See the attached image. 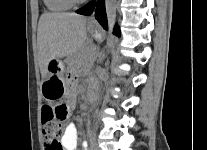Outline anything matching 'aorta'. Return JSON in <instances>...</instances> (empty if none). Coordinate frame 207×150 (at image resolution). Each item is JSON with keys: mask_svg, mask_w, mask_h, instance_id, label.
<instances>
[{"mask_svg": "<svg viewBox=\"0 0 207 150\" xmlns=\"http://www.w3.org/2000/svg\"><path fill=\"white\" fill-rule=\"evenodd\" d=\"M116 9H117V0H105V10L108 21V41L107 45L109 46L112 41V33L116 21Z\"/></svg>", "mask_w": 207, "mask_h": 150, "instance_id": "1", "label": "aorta"}]
</instances>
